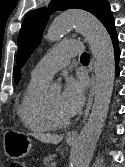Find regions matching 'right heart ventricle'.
<instances>
[{
  "label": "right heart ventricle",
  "mask_w": 125,
  "mask_h": 167,
  "mask_svg": "<svg viewBox=\"0 0 125 167\" xmlns=\"http://www.w3.org/2000/svg\"><path fill=\"white\" fill-rule=\"evenodd\" d=\"M46 83L45 80L32 77L17 109L22 125L35 133H47L53 129L43 110V91Z\"/></svg>",
  "instance_id": "right-heart-ventricle-1"
}]
</instances>
